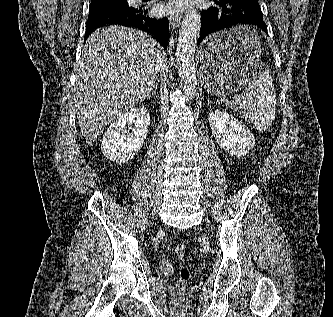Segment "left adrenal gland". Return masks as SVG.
<instances>
[{
  "instance_id": "1",
  "label": "left adrenal gland",
  "mask_w": 333,
  "mask_h": 317,
  "mask_svg": "<svg viewBox=\"0 0 333 317\" xmlns=\"http://www.w3.org/2000/svg\"><path fill=\"white\" fill-rule=\"evenodd\" d=\"M207 104L210 105L212 104V102L208 99Z\"/></svg>"
}]
</instances>
